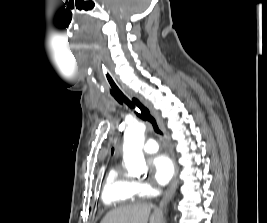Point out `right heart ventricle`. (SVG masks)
I'll list each match as a JSON object with an SVG mask.
<instances>
[{
	"label": "right heart ventricle",
	"instance_id": "1",
	"mask_svg": "<svg viewBox=\"0 0 267 223\" xmlns=\"http://www.w3.org/2000/svg\"><path fill=\"white\" fill-rule=\"evenodd\" d=\"M139 194L136 182L126 176L118 167L109 170L101 199L108 206H116L124 202L133 201Z\"/></svg>",
	"mask_w": 267,
	"mask_h": 223
}]
</instances>
